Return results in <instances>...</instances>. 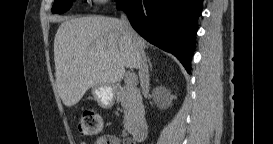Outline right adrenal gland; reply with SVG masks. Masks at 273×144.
Instances as JSON below:
<instances>
[{
    "label": "right adrenal gland",
    "instance_id": "right-adrenal-gland-1",
    "mask_svg": "<svg viewBox=\"0 0 273 144\" xmlns=\"http://www.w3.org/2000/svg\"><path fill=\"white\" fill-rule=\"evenodd\" d=\"M147 61H148V63H149L150 69H151V71H152V63H151V61H150V59H149L148 56H147Z\"/></svg>",
    "mask_w": 273,
    "mask_h": 144
}]
</instances>
